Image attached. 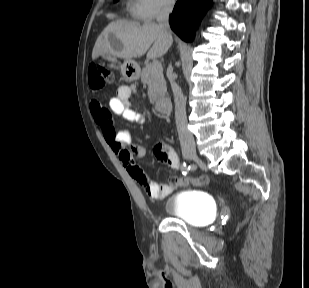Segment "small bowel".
<instances>
[{
  "label": "small bowel",
  "mask_w": 309,
  "mask_h": 288,
  "mask_svg": "<svg viewBox=\"0 0 309 288\" xmlns=\"http://www.w3.org/2000/svg\"><path fill=\"white\" fill-rule=\"evenodd\" d=\"M136 90L135 85H122L109 101V108L95 100L91 102L90 108L97 125L101 129L104 141L118 156L129 176L143 188L149 198L162 200L172 193L174 187L169 183L151 181L140 167L135 164L134 155L143 156L146 150L142 146H136L131 150L129 148L131 142L130 133L127 130H117L110 114V112H113L120 115L128 122L144 123L146 121L145 115L130 105L131 96ZM155 155L158 160L171 168L176 169L179 167V158L170 146L163 143L157 145Z\"/></svg>",
  "instance_id": "1"
}]
</instances>
